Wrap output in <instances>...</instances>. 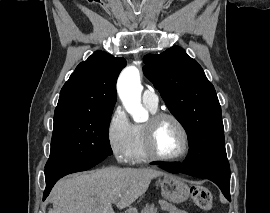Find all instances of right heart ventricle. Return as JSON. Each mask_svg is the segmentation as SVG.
<instances>
[{"label":"right heart ventricle","mask_w":270,"mask_h":213,"mask_svg":"<svg viewBox=\"0 0 270 213\" xmlns=\"http://www.w3.org/2000/svg\"><path fill=\"white\" fill-rule=\"evenodd\" d=\"M146 108L151 112L155 113L157 108H151L150 106L146 105ZM133 138H132V145L129 154V160L133 163H142L149 160L144 146H143V138H142V126L141 125H133L132 129Z\"/></svg>","instance_id":"e07e8e85"}]
</instances>
